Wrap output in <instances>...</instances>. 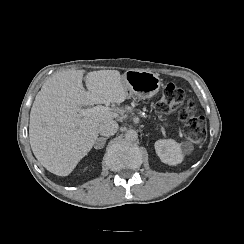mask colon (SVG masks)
Returning <instances> with one entry per match:
<instances>
[{
  "mask_svg": "<svg viewBox=\"0 0 244 244\" xmlns=\"http://www.w3.org/2000/svg\"><path fill=\"white\" fill-rule=\"evenodd\" d=\"M161 116L174 115L185 122V133L188 139L196 144L202 143L207 136V125L200 115L196 103L185 96L184 87L168 82L157 104Z\"/></svg>",
  "mask_w": 244,
  "mask_h": 244,
  "instance_id": "1",
  "label": "colon"
}]
</instances>
